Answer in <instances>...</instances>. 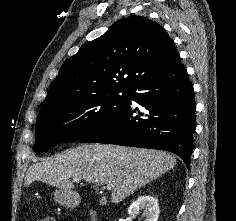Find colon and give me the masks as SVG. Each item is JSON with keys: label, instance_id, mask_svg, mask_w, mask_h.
<instances>
[{"label": "colon", "instance_id": "colon-1", "mask_svg": "<svg viewBox=\"0 0 236 221\" xmlns=\"http://www.w3.org/2000/svg\"><path fill=\"white\" fill-rule=\"evenodd\" d=\"M36 221H56V219L51 215H47L43 218L37 219Z\"/></svg>", "mask_w": 236, "mask_h": 221}]
</instances>
